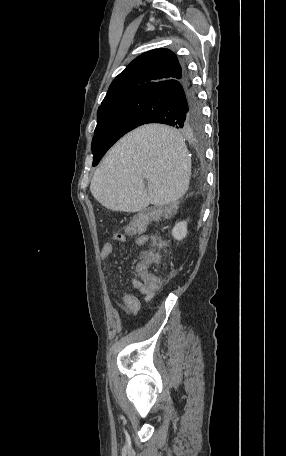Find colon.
Wrapping results in <instances>:
<instances>
[{"label": "colon", "mask_w": 286, "mask_h": 456, "mask_svg": "<svg viewBox=\"0 0 286 456\" xmlns=\"http://www.w3.org/2000/svg\"><path fill=\"white\" fill-rule=\"evenodd\" d=\"M150 218V215H142L133 218L127 227V233L143 232ZM120 234L121 233L117 234L115 237H119ZM161 245V240L156 239L155 246L160 247ZM158 258V253L155 250L147 252L143 256V261L135 267L134 280L138 287H142L148 291H157L160 289L162 285L161 278L150 273L148 270V264L157 262Z\"/></svg>", "instance_id": "obj_1"}]
</instances>
